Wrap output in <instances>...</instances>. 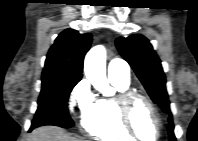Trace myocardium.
Segmentation results:
<instances>
[{"label": "myocardium", "mask_w": 198, "mask_h": 141, "mask_svg": "<svg viewBox=\"0 0 198 141\" xmlns=\"http://www.w3.org/2000/svg\"><path fill=\"white\" fill-rule=\"evenodd\" d=\"M138 101H143L147 104L151 113L154 117V121L157 127V134L154 141H157L161 137L162 132V123L159 112L153 103V101L146 95L136 92V91H125L119 93V95L115 99V103L118 110V116L123 125L124 129L134 138L137 140H143L139 137L138 133L136 132L133 123H132V110L134 105Z\"/></svg>", "instance_id": "f54148a6"}]
</instances>
